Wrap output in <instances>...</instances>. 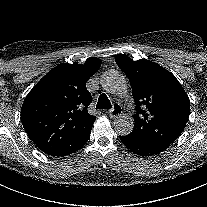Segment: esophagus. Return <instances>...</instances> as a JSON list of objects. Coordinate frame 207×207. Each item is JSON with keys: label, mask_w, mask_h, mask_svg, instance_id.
I'll use <instances>...</instances> for the list:
<instances>
[{"label": "esophagus", "mask_w": 207, "mask_h": 207, "mask_svg": "<svg viewBox=\"0 0 207 207\" xmlns=\"http://www.w3.org/2000/svg\"><path fill=\"white\" fill-rule=\"evenodd\" d=\"M107 113H108V115L110 117H117V116L121 115V113H122V107L119 106V105H115L114 108L109 109L107 111Z\"/></svg>", "instance_id": "34e87169"}]
</instances>
